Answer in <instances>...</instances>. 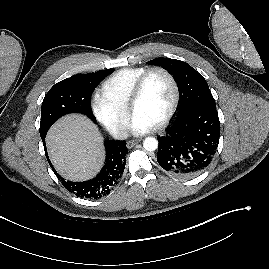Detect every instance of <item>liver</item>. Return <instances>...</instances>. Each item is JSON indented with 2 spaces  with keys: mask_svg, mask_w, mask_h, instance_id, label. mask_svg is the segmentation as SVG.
Listing matches in <instances>:
<instances>
[{
  "mask_svg": "<svg viewBox=\"0 0 269 269\" xmlns=\"http://www.w3.org/2000/svg\"><path fill=\"white\" fill-rule=\"evenodd\" d=\"M57 171L66 179L82 181L100 169L104 151L100 133L87 117L72 114L55 123L46 137Z\"/></svg>",
  "mask_w": 269,
  "mask_h": 269,
  "instance_id": "liver-1",
  "label": "liver"
}]
</instances>
